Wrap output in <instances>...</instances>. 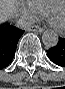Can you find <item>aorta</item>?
<instances>
[{
  "mask_svg": "<svg viewBox=\"0 0 65 89\" xmlns=\"http://www.w3.org/2000/svg\"><path fill=\"white\" fill-rule=\"evenodd\" d=\"M58 34L53 30H46L42 34V42L47 48L55 47L58 43Z\"/></svg>",
  "mask_w": 65,
  "mask_h": 89,
  "instance_id": "obj_1",
  "label": "aorta"
}]
</instances>
